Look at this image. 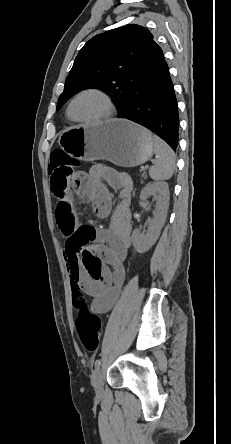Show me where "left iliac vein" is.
<instances>
[{
	"mask_svg": "<svg viewBox=\"0 0 231 444\" xmlns=\"http://www.w3.org/2000/svg\"><path fill=\"white\" fill-rule=\"evenodd\" d=\"M92 385L97 395H101L103 392V376L100 368L96 369L92 376Z\"/></svg>",
	"mask_w": 231,
	"mask_h": 444,
	"instance_id": "1",
	"label": "left iliac vein"
}]
</instances>
